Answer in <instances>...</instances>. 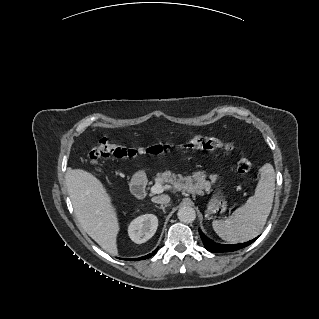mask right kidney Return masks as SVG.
<instances>
[{
  "instance_id": "ca27d5eb",
  "label": "right kidney",
  "mask_w": 319,
  "mask_h": 319,
  "mask_svg": "<svg viewBox=\"0 0 319 319\" xmlns=\"http://www.w3.org/2000/svg\"><path fill=\"white\" fill-rule=\"evenodd\" d=\"M158 218L154 214H144L135 218L128 227L131 240L137 244L148 241L156 232Z\"/></svg>"
}]
</instances>
